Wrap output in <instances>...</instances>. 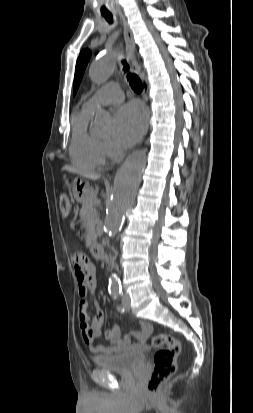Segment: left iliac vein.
I'll list each match as a JSON object with an SVG mask.
<instances>
[{"mask_svg":"<svg viewBox=\"0 0 253 413\" xmlns=\"http://www.w3.org/2000/svg\"><path fill=\"white\" fill-rule=\"evenodd\" d=\"M123 304H124L125 309L128 311L130 309V298L128 295H125L123 297Z\"/></svg>","mask_w":253,"mask_h":413,"instance_id":"4c4485c4","label":"left iliac vein"}]
</instances>
